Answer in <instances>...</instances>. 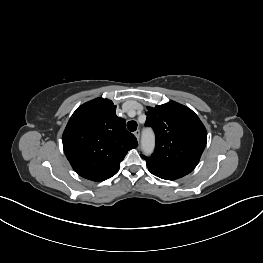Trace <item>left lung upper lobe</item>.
<instances>
[{"instance_id":"obj_1","label":"left lung upper lobe","mask_w":263,"mask_h":263,"mask_svg":"<svg viewBox=\"0 0 263 263\" xmlns=\"http://www.w3.org/2000/svg\"><path fill=\"white\" fill-rule=\"evenodd\" d=\"M147 109L146 126L156 135L154 153L150 157L141 154L149 171L166 180L187 175L197 166L206 146L203 123L191 109L174 101Z\"/></svg>"}]
</instances>
